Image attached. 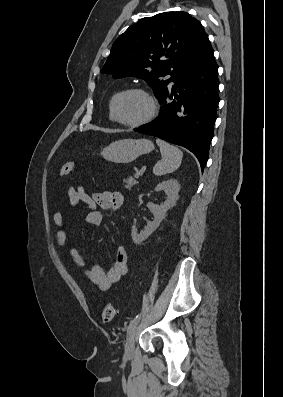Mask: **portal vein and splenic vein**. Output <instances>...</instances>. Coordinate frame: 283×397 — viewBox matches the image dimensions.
I'll use <instances>...</instances> for the list:
<instances>
[{
	"label": "portal vein and splenic vein",
	"instance_id": "portal-vein-and-splenic-vein-1",
	"mask_svg": "<svg viewBox=\"0 0 283 397\" xmlns=\"http://www.w3.org/2000/svg\"><path fill=\"white\" fill-rule=\"evenodd\" d=\"M134 176H135V178H139L140 173L136 172Z\"/></svg>",
	"mask_w": 283,
	"mask_h": 397
}]
</instances>
